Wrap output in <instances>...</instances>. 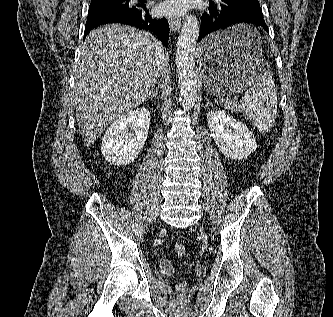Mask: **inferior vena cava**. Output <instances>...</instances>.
I'll use <instances>...</instances> for the list:
<instances>
[{
	"label": "inferior vena cava",
	"instance_id": "inferior-vena-cava-1",
	"mask_svg": "<svg viewBox=\"0 0 333 317\" xmlns=\"http://www.w3.org/2000/svg\"><path fill=\"white\" fill-rule=\"evenodd\" d=\"M164 63V59H161L159 62V66H158V73L160 72V70L162 69V64Z\"/></svg>",
	"mask_w": 333,
	"mask_h": 317
}]
</instances>
